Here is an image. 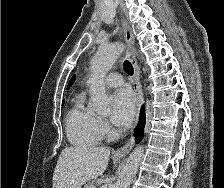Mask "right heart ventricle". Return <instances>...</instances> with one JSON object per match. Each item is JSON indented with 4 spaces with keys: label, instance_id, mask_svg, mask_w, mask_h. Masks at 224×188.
Segmentation results:
<instances>
[{
    "label": "right heart ventricle",
    "instance_id": "obj_1",
    "mask_svg": "<svg viewBox=\"0 0 224 188\" xmlns=\"http://www.w3.org/2000/svg\"><path fill=\"white\" fill-rule=\"evenodd\" d=\"M69 141L78 147L96 146L102 138L99 118L84 105V96L76 97L66 116Z\"/></svg>",
    "mask_w": 224,
    "mask_h": 188
}]
</instances>
